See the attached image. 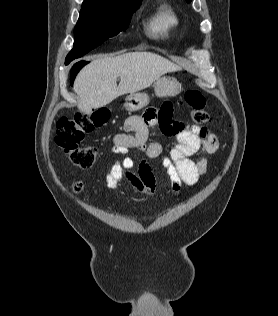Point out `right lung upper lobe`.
I'll return each instance as SVG.
<instances>
[{
	"instance_id": "obj_1",
	"label": "right lung upper lobe",
	"mask_w": 278,
	"mask_h": 316,
	"mask_svg": "<svg viewBox=\"0 0 278 316\" xmlns=\"http://www.w3.org/2000/svg\"><path fill=\"white\" fill-rule=\"evenodd\" d=\"M141 0H84L83 4L113 5L118 3H132Z\"/></svg>"
}]
</instances>
